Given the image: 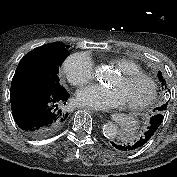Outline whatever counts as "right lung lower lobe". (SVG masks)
<instances>
[{"label": "right lung lower lobe", "mask_w": 177, "mask_h": 177, "mask_svg": "<svg viewBox=\"0 0 177 177\" xmlns=\"http://www.w3.org/2000/svg\"><path fill=\"white\" fill-rule=\"evenodd\" d=\"M70 95L34 87H15L10 90L11 109L18 127L28 137L43 139L61 130L67 121L65 111Z\"/></svg>", "instance_id": "obj_1"}]
</instances>
